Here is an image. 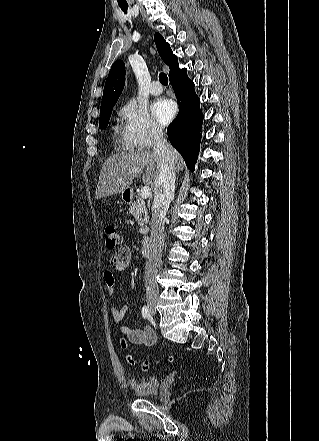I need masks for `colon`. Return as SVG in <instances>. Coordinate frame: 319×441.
Returning a JSON list of instances; mask_svg holds the SVG:
<instances>
[{"instance_id": "colon-1", "label": "colon", "mask_w": 319, "mask_h": 441, "mask_svg": "<svg viewBox=\"0 0 319 441\" xmlns=\"http://www.w3.org/2000/svg\"><path fill=\"white\" fill-rule=\"evenodd\" d=\"M105 237H106V246L108 249H114L118 247L122 243V238L117 229L113 225H107L105 227ZM120 345L123 349L127 347V341L122 338L120 341ZM175 356H169L168 360L170 362L175 361ZM127 361L130 365H135L136 361L132 356L127 357ZM151 366V363L147 360L143 361L140 365L142 371H148Z\"/></svg>"}]
</instances>
